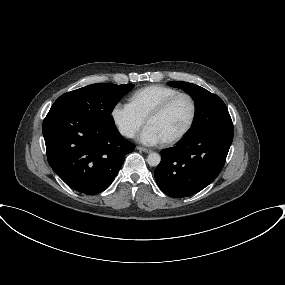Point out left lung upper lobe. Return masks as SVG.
<instances>
[{"label": "left lung upper lobe", "instance_id": "obj_1", "mask_svg": "<svg viewBox=\"0 0 285 285\" xmlns=\"http://www.w3.org/2000/svg\"><path fill=\"white\" fill-rule=\"evenodd\" d=\"M172 87L181 88L195 102V117L190 132L200 131L210 126H233L225 103L206 89L187 82H168Z\"/></svg>", "mask_w": 285, "mask_h": 285}]
</instances>
